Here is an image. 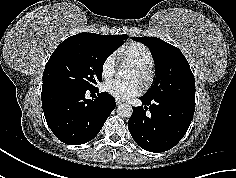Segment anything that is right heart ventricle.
Returning a JSON list of instances; mask_svg holds the SVG:
<instances>
[{
  "mask_svg": "<svg viewBox=\"0 0 236 178\" xmlns=\"http://www.w3.org/2000/svg\"><path fill=\"white\" fill-rule=\"evenodd\" d=\"M119 57L131 64H141L152 67L154 57L148 47L141 43H131L119 51Z\"/></svg>",
  "mask_w": 236,
  "mask_h": 178,
  "instance_id": "right-heart-ventricle-1",
  "label": "right heart ventricle"
}]
</instances>
